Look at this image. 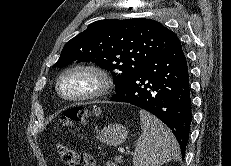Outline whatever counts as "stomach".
<instances>
[{
  "label": "stomach",
  "instance_id": "0dacf381",
  "mask_svg": "<svg viewBox=\"0 0 231 166\" xmlns=\"http://www.w3.org/2000/svg\"><path fill=\"white\" fill-rule=\"evenodd\" d=\"M128 136V130L122 124H110L105 126L97 135V138L109 146L122 144Z\"/></svg>",
  "mask_w": 231,
  "mask_h": 166
}]
</instances>
